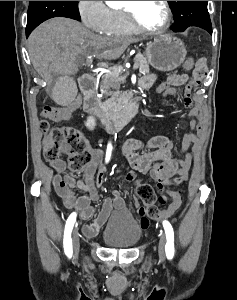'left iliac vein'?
Listing matches in <instances>:
<instances>
[{
    "instance_id": "4c4485c4",
    "label": "left iliac vein",
    "mask_w": 237,
    "mask_h": 300,
    "mask_svg": "<svg viewBox=\"0 0 237 300\" xmlns=\"http://www.w3.org/2000/svg\"><path fill=\"white\" fill-rule=\"evenodd\" d=\"M165 244H166V237L164 235H161L159 240V245H158L159 262H163L164 260Z\"/></svg>"
}]
</instances>
